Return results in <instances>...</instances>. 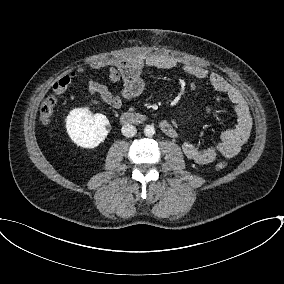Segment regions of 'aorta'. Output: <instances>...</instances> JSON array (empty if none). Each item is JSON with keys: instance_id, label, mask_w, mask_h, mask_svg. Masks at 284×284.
<instances>
[{"instance_id": "aorta-1", "label": "aorta", "mask_w": 284, "mask_h": 284, "mask_svg": "<svg viewBox=\"0 0 284 284\" xmlns=\"http://www.w3.org/2000/svg\"><path fill=\"white\" fill-rule=\"evenodd\" d=\"M144 134L145 136L147 137H152L154 134H155V128L153 125H147L145 128H144Z\"/></svg>"}]
</instances>
